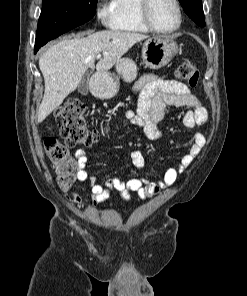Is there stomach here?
Listing matches in <instances>:
<instances>
[{"label": "stomach", "instance_id": "1", "mask_svg": "<svg viewBox=\"0 0 247 296\" xmlns=\"http://www.w3.org/2000/svg\"><path fill=\"white\" fill-rule=\"evenodd\" d=\"M179 47L173 38L156 36L147 39L142 46V59L147 68L159 69L168 64L178 52ZM116 72L126 82L137 76V66L132 59L122 58L116 63ZM93 93L101 99L112 98L119 90V78L109 73H97L93 77Z\"/></svg>", "mask_w": 247, "mask_h": 296}]
</instances>
